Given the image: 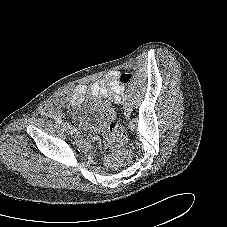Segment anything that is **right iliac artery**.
Returning <instances> with one entry per match:
<instances>
[{
    "instance_id": "82829eb1",
    "label": "right iliac artery",
    "mask_w": 227,
    "mask_h": 227,
    "mask_svg": "<svg viewBox=\"0 0 227 227\" xmlns=\"http://www.w3.org/2000/svg\"><path fill=\"white\" fill-rule=\"evenodd\" d=\"M53 118H54L55 121H57L58 123H62L61 116H54Z\"/></svg>"
}]
</instances>
